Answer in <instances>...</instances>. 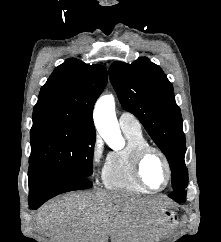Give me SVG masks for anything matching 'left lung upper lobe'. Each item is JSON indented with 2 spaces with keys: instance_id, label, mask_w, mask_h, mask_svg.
Listing matches in <instances>:
<instances>
[{
  "instance_id": "5c2ea615",
  "label": "left lung upper lobe",
  "mask_w": 221,
  "mask_h": 242,
  "mask_svg": "<svg viewBox=\"0 0 221 242\" xmlns=\"http://www.w3.org/2000/svg\"><path fill=\"white\" fill-rule=\"evenodd\" d=\"M109 76L122 107L140 120L167 157L173 190L184 191L188 184L186 144L172 84L162 69L146 57L131 64L114 62Z\"/></svg>"
}]
</instances>
